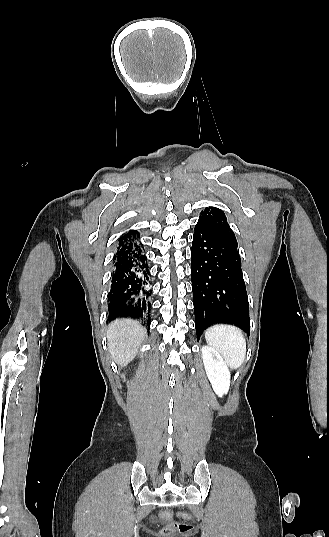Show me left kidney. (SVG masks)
<instances>
[{"instance_id":"left-kidney-1","label":"left kidney","mask_w":329,"mask_h":537,"mask_svg":"<svg viewBox=\"0 0 329 537\" xmlns=\"http://www.w3.org/2000/svg\"><path fill=\"white\" fill-rule=\"evenodd\" d=\"M206 374L215 393L222 397L229 390L230 371L222 356L212 347L201 348Z\"/></svg>"}]
</instances>
